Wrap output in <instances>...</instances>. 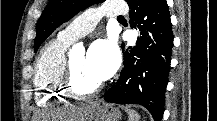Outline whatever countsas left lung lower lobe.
I'll return each mask as SVG.
<instances>
[{"label":"left lung lower lobe","mask_w":217,"mask_h":121,"mask_svg":"<svg viewBox=\"0 0 217 121\" xmlns=\"http://www.w3.org/2000/svg\"><path fill=\"white\" fill-rule=\"evenodd\" d=\"M130 25L138 29L136 46L124 54L118 81L104 94V100L118 104H140L155 121L164 113L173 33L166 0H126ZM123 48V45H122Z\"/></svg>","instance_id":"1"}]
</instances>
